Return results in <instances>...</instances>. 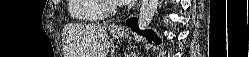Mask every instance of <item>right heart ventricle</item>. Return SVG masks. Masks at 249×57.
Listing matches in <instances>:
<instances>
[{
  "mask_svg": "<svg viewBox=\"0 0 249 57\" xmlns=\"http://www.w3.org/2000/svg\"><path fill=\"white\" fill-rule=\"evenodd\" d=\"M70 16L80 21H98L105 17L102 0H69Z\"/></svg>",
  "mask_w": 249,
  "mask_h": 57,
  "instance_id": "e07e8e85",
  "label": "right heart ventricle"
}]
</instances>
